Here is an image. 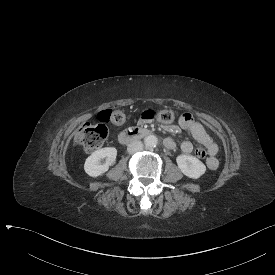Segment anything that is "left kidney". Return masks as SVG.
Segmentation results:
<instances>
[{"instance_id":"left-kidney-1","label":"left kidney","mask_w":275,"mask_h":275,"mask_svg":"<svg viewBox=\"0 0 275 275\" xmlns=\"http://www.w3.org/2000/svg\"><path fill=\"white\" fill-rule=\"evenodd\" d=\"M176 162L180 171L191 179H199L207 170L205 164L190 155H178Z\"/></svg>"}]
</instances>
